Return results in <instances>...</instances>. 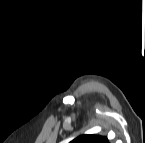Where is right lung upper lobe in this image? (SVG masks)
Listing matches in <instances>:
<instances>
[{
  "instance_id": "cb5924a9",
  "label": "right lung upper lobe",
  "mask_w": 145,
  "mask_h": 143,
  "mask_svg": "<svg viewBox=\"0 0 145 143\" xmlns=\"http://www.w3.org/2000/svg\"><path fill=\"white\" fill-rule=\"evenodd\" d=\"M71 143H108V140L101 136L82 135L74 139Z\"/></svg>"
}]
</instances>
